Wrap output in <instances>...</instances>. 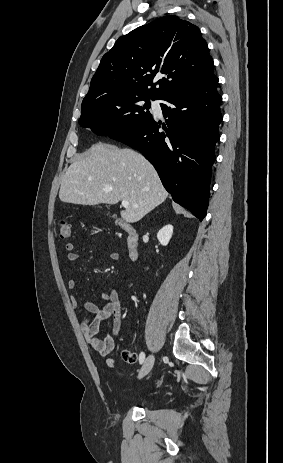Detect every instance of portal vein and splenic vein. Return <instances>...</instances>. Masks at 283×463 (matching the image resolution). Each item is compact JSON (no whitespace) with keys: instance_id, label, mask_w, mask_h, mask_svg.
Wrapping results in <instances>:
<instances>
[{"instance_id":"portal-vein-and-splenic-vein-1","label":"portal vein and splenic vein","mask_w":283,"mask_h":463,"mask_svg":"<svg viewBox=\"0 0 283 463\" xmlns=\"http://www.w3.org/2000/svg\"><path fill=\"white\" fill-rule=\"evenodd\" d=\"M122 206H123V207H128V206H129V202L126 201V200H123V201H122Z\"/></svg>"}]
</instances>
